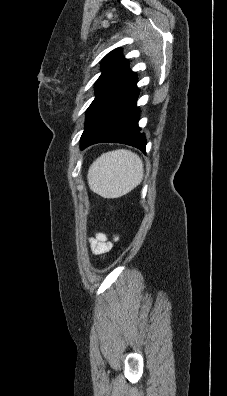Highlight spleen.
<instances>
[{
  "instance_id": "3e777b00",
  "label": "spleen",
  "mask_w": 227,
  "mask_h": 396,
  "mask_svg": "<svg viewBox=\"0 0 227 396\" xmlns=\"http://www.w3.org/2000/svg\"><path fill=\"white\" fill-rule=\"evenodd\" d=\"M89 188L104 198L126 195L143 179V162L140 157L125 149L102 154L88 170Z\"/></svg>"
}]
</instances>
